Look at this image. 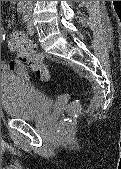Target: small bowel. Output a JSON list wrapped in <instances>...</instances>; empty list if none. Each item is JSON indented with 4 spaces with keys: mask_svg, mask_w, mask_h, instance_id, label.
Listing matches in <instances>:
<instances>
[{
    "mask_svg": "<svg viewBox=\"0 0 121 169\" xmlns=\"http://www.w3.org/2000/svg\"><path fill=\"white\" fill-rule=\"evenodd\" d=\"M1 69L3 71L15 72L21 75H26V68L20 61L14 60L10 62H3L1 64Z\"/></svg>",
    "mask_w": 121,
    "mask_h": 169,
    "instance_id": "1",
    "label": "small bowel"
}]
</instances>
